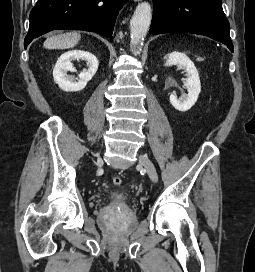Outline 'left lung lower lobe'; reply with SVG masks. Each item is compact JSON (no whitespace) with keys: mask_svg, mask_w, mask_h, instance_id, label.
Masks as SVG:
<instances>
[{"mask_svg":"<svg viewBox=\"0 0 255 272\" xmlns=\"http://www.w3.org/2000/svg\"><path fill=\"white\" fill-rule=\"evenodd\" d=\"M151 34L174 32L208 36L233 52L230 25L222 0H153Z\"/></svg>","mask_w":255,"mask_h":272,"instance_id":"1","label":"left lung lower lobe"}]
</instances>
